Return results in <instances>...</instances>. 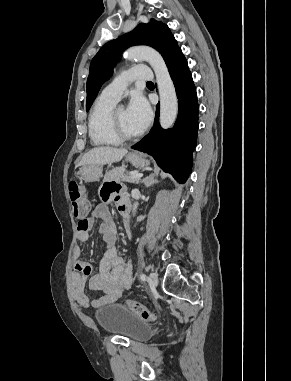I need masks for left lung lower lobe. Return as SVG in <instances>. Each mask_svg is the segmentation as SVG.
<instances>
[{
    "label": "left lung lower lobe",
    "instance_id": "left-lung-lower-lobe-1",
    "mask_svg": "<svg viewBox=\"0 0 291 381\" xmlns=\"http://www.w3.org/2000/svg\"><path fill=\"white\" fill-rule=\"evenodd\" d=\"M179 104L178 117L172 129L159 126V108L156 107L152 130L132 149L151 155L157 164L173 175L179 183H185L192 167V152L196 147L198 131L197 94L181 49L167 62Z\"/></svg>",
    "mask_w": 291,
    "mask_h": 381
}]
</instances>
